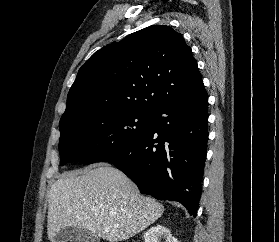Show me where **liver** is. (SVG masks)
<instances>
[{"mask_svg": "<svg viewBox=\"0 0 279 242\" xmlns=\"http://www.w3.org/2000/svg\"><path fill=\"white\" fill-rule=\"evenodd\" d=\"M163 212L164 206L142 196L123 172L97 164L66 172L51 186L47 234L54 242L57 233L72 227L110 242L124 241L154 223Z\"/></svg>", "mask_w": 279, "mask_h": 242, "instance_id": "liver-1", "label": "liver"}]
</instances>
